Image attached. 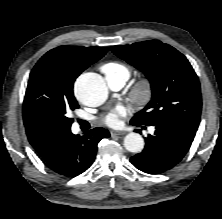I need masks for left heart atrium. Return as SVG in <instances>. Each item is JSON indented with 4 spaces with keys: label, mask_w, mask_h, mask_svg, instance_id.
I'll use <instances>...</instances> for the list:
<instances>
[{
    "label": "left heart atrium",
    "mask_w": 222,
    "mask_h": 219,
    "mask_svg": "<svg viewBox=\"0 0 222 219\" xmlns=\"http://www.w3.org/2000/svg\"><path fill=\"white\" fill-rule=\"evenodd\" d=\"M125 114V108L118 106L104 116L103 122L109 127L117 128L121 125V117L125 116Z\"/></svg>",
    "instance_id": "obj_1"
}]
</instances>
